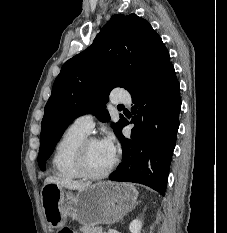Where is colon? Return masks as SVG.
Here are the masks:
<instances>
[{
  "label": "colon",
  "instance_id": "5ec220e1",
  "mask_svg": "<svg viewBox=\"0 0 227 233\" xmlns=\"http://www.w3.org/2000/svg\"><path fill=\"white\" fill-rule=\"evenodd\" d=\"M58 233H76L75 231H73L72 229L70 228H61Z\"/></svg>",
  "mask_w": 227,
  "mask_h": 233
}]
</instances>
